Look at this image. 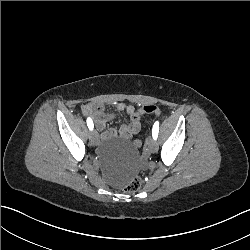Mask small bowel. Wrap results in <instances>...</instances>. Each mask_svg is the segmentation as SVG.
<instances>
[{"mask_svg":"<svg viewBox=\"0 0 250 250\" xmlns=\"http://www.w3.org/2000/svg\"><path fill=\"white\" fill-rule=\"evenodd\" d=\"M118 111L127 114L130 118V122L127 124H123L118 130L110 129L108 131V135L109 137H112L118 133L123 139L130 140L141 129L140 122H133L131 120V113L133 111H140V110H136L132 106L119 104ZM82 113L85 116L91 117L94 120L95 126L99 131L103 130L106 126V123L114 118L113 113L105 112L104 106L101 103H88L84 105L82 107Z\"/></svg>","mask_w":250,"mask_h":250,"instance_id":"small-bowel-1","label":"small bowel"}]
</instances>
